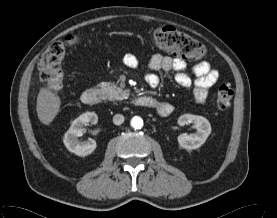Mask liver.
<instances>
[{
	"mask_svg": "<svg viewBox=\"0 0 277 218\" xmlns=\"http://www.w3.org/2000/svg\"><path fill=\"white\" fill-rule=\"evenodd\" d=\"M60 98L47 88H41L37 96L36 111L40 122L49 125L59 112Z\"/></svg>",
	"mask_w": 277,
	"mask_h": 218,
	"instance_id": "liver-1",
	"label": "liver"
}]
</instances>
